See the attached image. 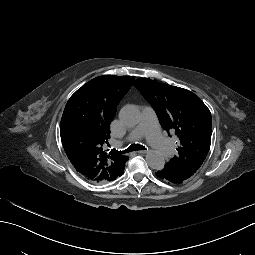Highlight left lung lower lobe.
I'll list each match as a JSON object with an SVG mask.
<instances>
[{"label": "left lung lower lobe", "mask_w": 255, "mask_h": 255, "mask_svg": "<svg viewBox=\"0 0 255 255\" xmlns=\"http://www.w3.org/2000/svg\"><path fill=\"white\" fill-rule=\"evenodd\" d=\"M155 176L161 181H165L166 185H171V183L180 185V180L174 178V176L168 173V168L158 169V171L155 173Z\"/></svg>", "instance_id": "obj_1"}]
</instances>
